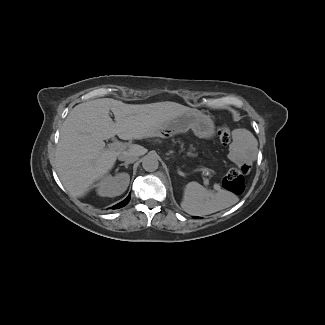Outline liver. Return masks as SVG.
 <instances>
[{
	"mask_svg": "<svg viewBox=\"0 0 325 325\" xmlns=\"http://www.w3.org/2000/svg\"><path fill=\"white\" fill-rule=\"evenodd\" d=\"M110 110L116 122L109 116ZM190 112L198 110L170 101L134 105L102 98L81 103L62 125L53 166L68 192L83 197L126 152L106 149L104 140L115 135L123 140L151 137L163 123ZM129 152L141 155L146 150L133 145Z\"/></svg>",
	"mask_w": 325,
	"mask_h": 325,
	"instance_id": "obj_1",
	"label": "liver"
}]
</instances>
